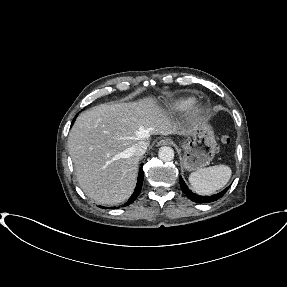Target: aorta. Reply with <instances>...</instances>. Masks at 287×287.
<instances>
[{
	"label": "aorta",
	"mask_w": 287,
	"mask_h": 287,
	"mask_svg": "<svg viewBox=\"0 0 287 287\" xmlns=\"http://www.w3.org/2000/svg\"><path fill=\"white\" fill-rule=\"evenodd\" d=\"M158 157L164 162L171 161L174 158V150L169 146H163L158 151Z\"/></svg>",
	"instance_id": "762f6f07"
}]
</instances>
